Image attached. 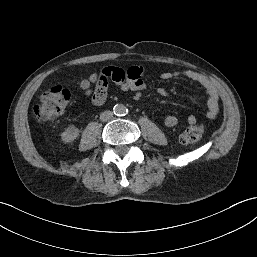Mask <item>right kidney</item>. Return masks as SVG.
<instances>
[{"label":"right kidney","mask_w":257,"mask_h":257,"mask_svg":"<svg viewBox=\"0 0 257 257\" xmlns=\"http://www.w3.org/2000/svg\"><path fill=\"white\" fill-rule=\"evenodd\" d=\"M79 135V129L74 125H69L68 128L61 134L62 141L65 143L73 142Z\"/></svg>","instance_id":"right-kidney-1"}]
</instances>
